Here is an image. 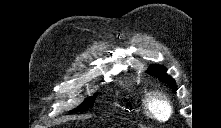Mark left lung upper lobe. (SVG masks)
Returning <instances> with one entry per match:
<instances>
[{"mask_svg": "<svg viewBox=\"0 0 221 128\" xmlns=\"http://www.w3.org/2000/svg\"><path fill=\"white\" fill-rule=\"evenodd\" d=\"M166 71V68L163 66L151 65L147 72L159 78L160 81L168 84L175 92L177 89L175 81L169 75L166 74Z\"/></svg>", "mask_w": 221, "mask_h": 128, "instance_id": "left-lung-upper-lobe-1", "label": "left lung upper lobe"}]
</instances>
